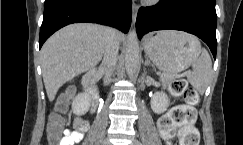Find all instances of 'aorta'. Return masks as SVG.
<instances>
[{
	"instance_id": "obj_1",
	"label": "aorta",
	"mask_w": 243,
	"mask_h": 145,
	"mask_svg": "<svg viewBox=\"0 0 243 145\" xmlns=\"http://www.w3.org/2000/svg\"><path fill=\"white\" fill-rule=\"evenodd\" d=\"M139 43L136 32L133 30L129 33L128 43L125 53V66L127 74L132 78L139 64Z\"/></svg>"
}]
</instances>
